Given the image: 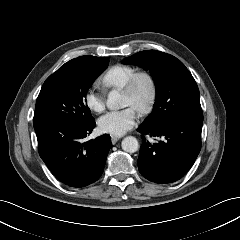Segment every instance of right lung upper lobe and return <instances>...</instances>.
I'll list each match as a JSON object with an SVG mask.
<instances>
[{
  "instance_id": "right-lung-upper-lobe-1",
  "label": "right lung upper lobe",
  "mask_w": 240,
  "mask_h": 240,
  "mask_svg": "<svg viewBox=\"0 0 240 240\" xmlns=\"http://www.w3.org/2000/svg\"><path fill=\"white\" fill-rule=\"evenodd\" d=\"M100 59H104V58H98L95 56H80V57L74 58V59L68 61L67 63H65L64 65H62L56 71V73L70 70L73 68L88 67V66L95 64Z\"/></svg>"
}]
</instances>
